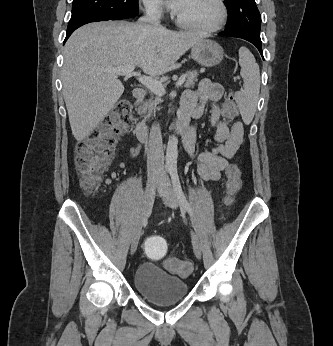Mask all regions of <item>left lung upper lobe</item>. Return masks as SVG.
I'll use <instances>...</instances> for the list:
<instances>
[{"label": "left lung upper lobe", "instance_id": "left-lung-upper-lobe-1", "mask_svg": "<svg viewBox=\"0 0 333 346\" xmlns=\"http://www.w3.org/2000/svg\"><path fill=\"white\" fill-rule=\"evenodd\" d=\"M228 11L226 30L260 39L261 15L255 0H225Z\"/></svg>", "mask_w": 333, "mask_h": 346}]
</instances>
